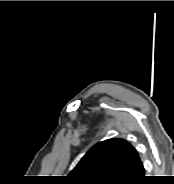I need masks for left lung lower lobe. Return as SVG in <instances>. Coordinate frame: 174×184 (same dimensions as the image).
Instances as JSON below:
<instances>
[{
    "mask_svg": "<svg viewBox=\"0 0 174 184\" xmlns=\"http://www.w3.org/2000/svg\"><path fill=\"white\" fill-rule=\"evenodd\" d=\"M144 173H145V170L143 168V165H142L140 159H138L136 166H135V169H134L132 179L129 181L128 184H142L146 178L144 176Z\"/></svg>",
    "mask_w": 174,
    "mask_h": 184,
    "instance_id": "left-lung-lower-lobe-1",
    "label": "left lung lower lobe"
}]
</instances>
